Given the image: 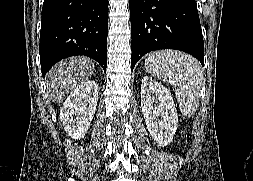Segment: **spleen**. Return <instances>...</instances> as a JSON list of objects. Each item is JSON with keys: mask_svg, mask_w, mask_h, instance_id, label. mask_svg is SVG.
I'll use <instances>...</instances> for the list:
<instances>
[{"mask_svg": "<svg viewBox=\"0 0 253 181\" xmlns=\"http://www.w3.org/2000/svg\"><path fill=\"white\" fill-rule=\"evenodd\" d=\"M145 68L153 77L172 85L182 115L190 117L199 103L203 76L200 63L185 53L165 50L150 54Z\"/></svg>", "mask_w": 253, "mask_h": 181, "instance_id": "obj_1", "label": "spleen"}]
</instances>
